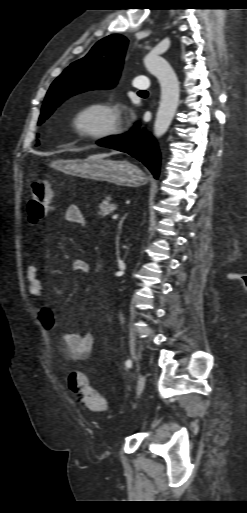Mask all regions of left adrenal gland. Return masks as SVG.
Returning a JSON list of instances; mask_svg holds the SVG:
<instances>
[{
    "label": "left adrenal gland",
    "instance_id": "left-adrenal-gland-1",
    "mask_svg": "<svg viewBox=\"0 0 247 513\" xmlns=\"http://www.w3.org/2000/svg\"><path fill=\"white\" fill-rule=\"evenodd\" d=\"M126 216H127V214H125V216H123V217L121 218V220H120V222H119V224H118V236H119V235H120V233H121L122 225H123V222H124V220H125Z\"/></svg>",
    "mask_w": 247,
    "mask_h": 513
}]
</instances>
